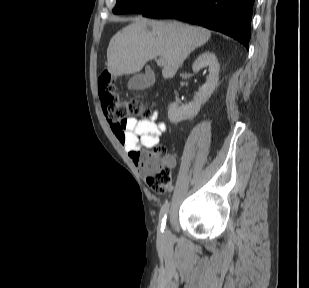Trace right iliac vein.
<instances>
[{"instance_id":"right-iliac-vein-1","label":"right iliac vein","mask_w":309,"mask_h":288,"mask_svg":"<svg viewBox=\"0 0 309 288\" xmlns=\"http://www.w3.org/2000/svg\"><path fill=\"white\" fill-rule=\"evenodd\" d=\"M164 237H165V239L169 238V233L167 231L164 233Z\"/></svg>"}]
</instances>
